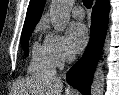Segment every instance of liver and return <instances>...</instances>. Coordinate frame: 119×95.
I'll list each match as a JSON object with an SVG mask.
<instances>
[{
  "mask_svg": "<svg viewBox=\"0 0 119 95\" xmlns=\"http://www.w3.org/2000/svg\"><path fill=\"white\" fill-rule=\"evenodd\" d=\"M19 87L24 93H28L29 90L37 95H62L63 82L56 77L40 75L21 81ZM74 94L75 92L72 90H65V95Z\"/></svg>",
  "mask_w": 119,
  "mask_h": 95,
  "instance_id": "obj_1",
  "label": "liver"
}]
</instances>
